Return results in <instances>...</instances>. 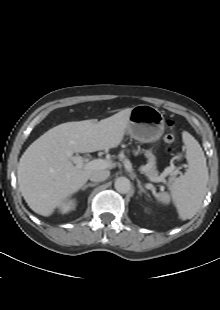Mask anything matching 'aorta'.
<instances>
[{
    "label": "aorta",
    "mask_w": 220,
    "mask_h": 310,
    "mask_svg": "<svg viewBox=\"0 0 220 310\" xmlns=\"http://www.w3.org/2000/svg\"><path fill=\"white\" fill-rule=\"evenodd\" d=\"M114 187L116 191L122 194H126L131 189V183L130 180L126 177H119L116 179Z\"/></svg>",
    "instance_id": "762f6f07"
}]
</instances>
